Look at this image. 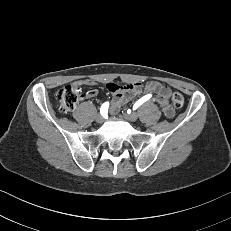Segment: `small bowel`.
Returning <instances> with one entry per match:
<instances>
[{
    "label": "small bowel",
    "instance_id": "1",
    "mask_svg": "<svg viewBox=\"0 0 231 231\" xmlns=\"http://www.w3.org/2000/svg\"><path fill=\"white\" fill-rule=\"evenodd\" d=\"M84 84L92 85L94 81L87 79H78L74 82L75 86H82ZM107 88L110 92H112L115 96V100L112 103L111 111L118 112L121 106L127 102L131 96L137 94L141 90V84L139 83H131L124 86L109 83L107 84ZM146 91L150 94H156V102L161 108L163 114L169 118H172L175 114L174 109L169 103V95L170 90L167 86L162 85L159 82H150L146 85ZM97 90H90L87 93L89 98H93L97 95Z\"/></svg>",
    "mask_w": 231,
    "mask_h": 231
}]
</instances>
